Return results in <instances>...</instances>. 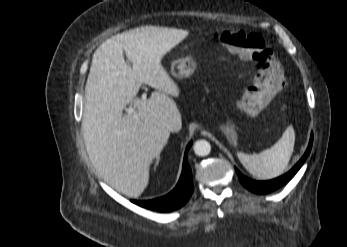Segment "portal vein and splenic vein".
<instances>
[{"label":"portal vein and splenic vein","mask_w":347,"mask_h":247,"mask_svg":"<svg viewBox=\"0 0 347 247\" xmlns=\"http://www.w3.org/2000/svg\"><path fill=\"white\" fill-rule=\"evenodd\" d=\"M146 97H147V95L145 93H143L142 96H141V99H139V102L140 103L144 102L146 100ZM126 113L129 114V115L135 113V108L132 107V106L126 108Z\"/></svg>","instance_id":"1"}]
</instances>
